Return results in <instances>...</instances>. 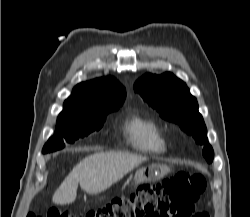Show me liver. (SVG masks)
Here are the masks:
<instances>
[{
    "label": "liver",
    "mask_w": 250,
    "mask_h": 217,
    "mask_svg": "<svg viewBox=\"0 0 250 217\" xmlns=\"http://www.w3.org/2000/svg\"><path fill=\"white\" fill-rule=\"evenodd\" d=\"M144 161L145 157L121 152H98L87 156L64 179L52 201L60 205L73 203L79 183L88 194L100 193Z\"/></svg>",
    "instance_id": "6515ba94"
}]
</instances>
